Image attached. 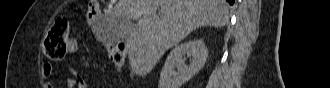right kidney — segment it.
<instances>
[{"mask_svg":"<svg viewBox=\"0 0 330 88\" xmlns=\"http://www.w3.org/2000/svg\"><path fill=\"white\" fill-rule=\"evenodd\" d=\"M185 55L191 58L189 66L185 64ZM207 57V48L202 40H191L176 46L165 61L158 87L180 88L203 68Z\"/></svg>","mask_w":330,"mask_h":88,"instance_id":"1","label":"right kidney"}]
</instances>
